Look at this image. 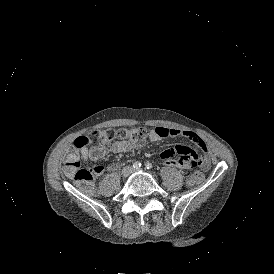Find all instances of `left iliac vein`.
<instances>
[{"mask_svg":"<svg viewBox=\"0 0 274 274\" xmlns=\"http://www.w3.org/2000/svg\"><path fill=\"white\" fill-rule=\"evenodd\" d=\"M138 171H145V170H143V169H140V170H138Z\"/></svg>","mask_w":274,"mask_h":274,"instance_id":"obj_1","label":"left iliac vein"}]
</instances>
